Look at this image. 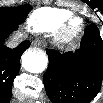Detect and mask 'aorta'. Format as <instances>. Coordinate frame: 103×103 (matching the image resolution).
<instances>
[{
    "label": "aorta",
    "instance_id": "1",
    "mask_svg": "<svg viewBox=\"0 0 103 103\" xmlns=\"http://www.w3.org/2000/svg\"><path fill=\"white\" fill-rule=\"evenodd\" d=\"M48 64V58L44 53L37 51H26L22 55V65L30 73H41Z\"/></svg>",
    "mask_w": 103,
    "mask_h": 103
}]
</instances>
